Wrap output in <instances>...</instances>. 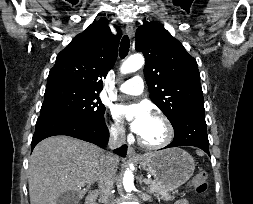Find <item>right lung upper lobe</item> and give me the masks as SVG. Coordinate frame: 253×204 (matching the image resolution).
I'll list each match as a JSON object with an SVG mask.
<instances>
[{"instance_id": "1", "label": "right lung upper lobe", "mask_w": 253, "mask_h": 204, "mask_svg": "<svg viewBox=\"0 0 253 204\" xmlns=\"http://www.w3.org/2000/svg\"><path fill=\"white\" fill-rule=\"evenodd\" d=\"M116 29L115 36L105 19L93 22L58 54L47 85L70 84L99 93L117 58L121 30Z\"/></svg>"}]
</instances>
